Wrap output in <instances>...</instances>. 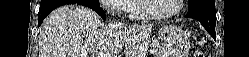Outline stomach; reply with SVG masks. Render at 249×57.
<instances>
[{"instance_id":"0dacf381","label":"stomach","mask_w":249,"mask_h":57,"mask_svg":"<svg viewBox=\"0 0 249 57\" xmlns=\"http://www.w3.org/2000/svg\"><path fill=\"white\" fill-rule=\"evenodd\" d=\"M158 40L155 57H188L189 36L180 27L163 26L158 32Z\"/></svg>"}]
</instances>
